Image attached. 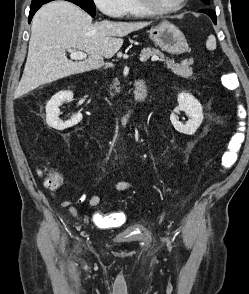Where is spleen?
<instances>
[{"instance_id": "obj_1", "label": "spleen", "mask_w": 249, "mask_h": 294, "mask_svg": "<svg viewBox=\"0 0 249 294\" xmlns=\"http://www.w3.org/2000/svg\"><path fill=\"white\" fill-rule=\"evenodd\" d=\"M206 47L209 50L216 49V38L214 35H210L206 41Z\"/></svg>"}]
</instances>
